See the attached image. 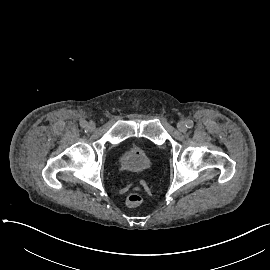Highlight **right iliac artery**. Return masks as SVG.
<instances>
[{
  "label": "right iliac artery",
  "mask_w": 270,
  "mask_h": 270,
  "mask_svg": "<svg viewBox=\"0 0 270 270\" xmlns=\"http://www.w3.org/2000/svg\"><path fill=\"white\" fill-rule=\"evenodd\" d=\"M80 126H81L82 128L87 127V122H86L85 120H82V121L80 122Z\"/></svg>",
  "instance_id": "obj_1"
}]
</instances>
